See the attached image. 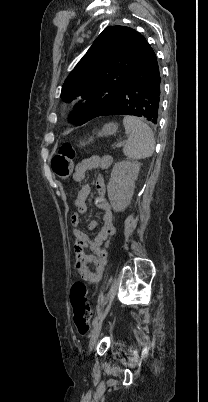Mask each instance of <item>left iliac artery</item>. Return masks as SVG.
<instances>
[{
	"instance_id": "obj_1",
	"label": "left iliac artery",
	"mask_w": 208,
	"mask_h": 402,
	"mask_svg": "<svg viewBox=\"0 0 208 402\" xmlns=\"http://www.w3.org/2000/svg\"><path fill=\"white\" fill-rule=\"evenodd\" d=\"M97 321H98V317H95V318L93 319V321H92L93 327L96 325Z\"/></svg>"
}]
</instances>
